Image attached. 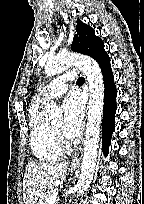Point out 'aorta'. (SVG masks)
<instances>
[{"label":"aorta","mask_w":144,"mask_h":204,"mask_svg":"<svg viewBox=\"0 0 144 204\" xmlns=\"http://www.w3.org/2000/svg\"><path fill=\"white\" fill-rule=\"evenodd\" d=\"M73 65L80 67L85 74L90 91L84 155L81 163L80 178L77 183V193L83 194L91 183L95 171L104 105V82L101 69L94 59L72 53H60L49 59L45 65V74L48 77H52ZM43 113L49 120H56L62 117L61 109L53 101L47 102Z\"/></svg>","instance_id":"obj_1"}]
</instances>
